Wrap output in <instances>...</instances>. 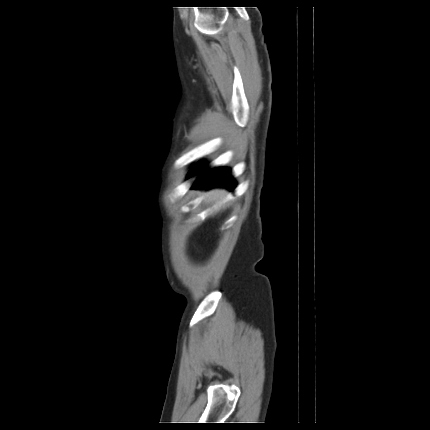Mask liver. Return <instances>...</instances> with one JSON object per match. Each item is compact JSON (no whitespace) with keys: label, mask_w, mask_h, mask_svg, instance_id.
Wrapping results in <instances>:
<instances>
[{"label":"liver","mask_w":430,"mask_h":430,"mask_svg":"<svg viewBox=\"0 0 430 430\" xmlns=\"http://www.w3.org/2000/svg\"><path fill=\"white\" fill-rule=\"evenodd\" d=\"M217 198H219V194L218 193H216V194L213 195V199H217Z\"/></svg>","instance_id":"obj_1"}]
</instances>
